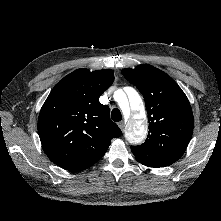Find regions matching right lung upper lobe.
Returning a JSON list of instances; mask_svg holds the SVG:
<instances>
[{
	"label": "right lung upper lobe",
	"instance_id": "right-lung-upper-lobe-1",
	"mask_svg": "<svg viewBox=\"0 0 221 221\" xmlns=\"http://www.w3.org/2000/svg\"><path fill=\"white\" fill-rule=\"evenodd\" d=\"M113 81L110 69H78L53 88L38 118L42 147L53 163L71 171L87 169L103 157L112 138L122 135L109 107L99 102Z\"/></svg>",
	"mask_w": 221,
	"mask_h": 221
}]
</instances>
